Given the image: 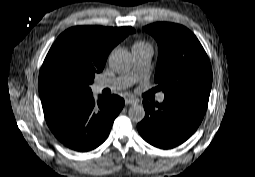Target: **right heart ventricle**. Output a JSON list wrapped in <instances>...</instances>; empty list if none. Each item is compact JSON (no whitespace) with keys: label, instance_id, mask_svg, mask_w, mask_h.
<instances>
[{"label":"right heart ventricle","instance_id":"obj_1","mask_svg":"<svg viewBox=\"0 0 255 177\" xmlns=\"http://www.w3.org/2000/svg\"><path fill=\"white\" fill-rule=\"evenodd\" d=\"M146 48H151V45L142 39H137L132 45V51H140Z\"/></svg>","mask_w":255,"mask_h":177}]
</instances>
